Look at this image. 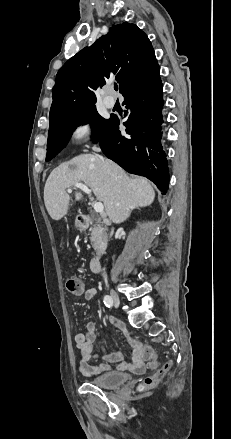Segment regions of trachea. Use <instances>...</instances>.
<instances>
[{
	"instance_id": "trachea-1",
	"label": "trachea",
	"mask_w": 231,
	"mask_h": 439,
	"mask_svg": "<svg viewBox=\"0 0 231 439\" xmlns=\"http://www.w3.org/2000/svg\"><path fill=\"white\" fill-rule=\"evenodd\" d=\"M114 89L117 91L118 90V86L117 84L114 85Z\"/></svg>"
}]
</instances>
